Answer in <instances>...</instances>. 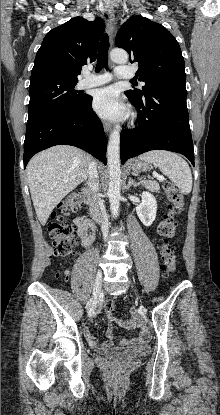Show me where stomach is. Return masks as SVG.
Wrapping results in <instances>:
<instances>
[{
	"label": "stomach",
	"instance_id": "stomach-1",
	"mask_svg": "<svg viewBox=\"0 0 220 415\" xmlns=\"http://www.w3.org/2000/svg\"><path fill=\"white\" fill-rule=\"evenodd\" d=\"M131 168L134 172H144L150 168V165L139 160H134L131 164Z\"/></svg>",
	"mask_w": 220,
	"mask_h": 415
}]
</instances>
